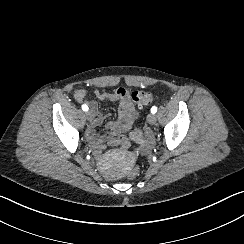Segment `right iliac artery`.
<instances>
[{
	"mask_svg": "<svg viewBox=\"0 0 244 244\" xmlns=\"http://www.w3.org/2000/svg\"><path fill=\"white\" fill-rule=\"evenodd\" d=\"M82 109H83V111H88L89 108L86 104H84V105H82Z\"/></svg>",
	"mask_w": 244,
	"mask_h": 244,
	"instance_id": "right-iliac-artery-1",
	"label": "right iliac artery"
}]
</instances>
